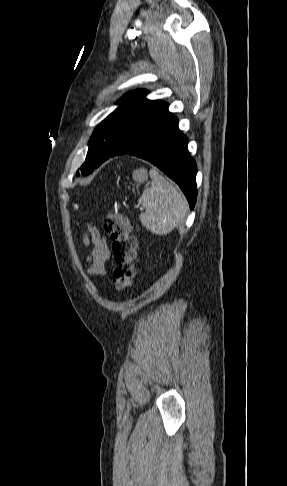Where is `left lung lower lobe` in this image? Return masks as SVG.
I'll list each match as a JSON object with an SVG mask.
<instances>
[{"mask_svg": "<svg viewBox=\"0 0 287 486\" xmlns=\"http://www.w3.org/2000/svg\"><path fill=\"white\" fill-rule=\"evenodd\" d=\"M187 144V137L178 128L177 117L172 115L142 145L126 154L147 160L161 169L180 186L193 209L197 197V167Z\"/></svg>", "mask_w": 287, "mask_h": 486, "instance_id": "left-lung-lower-lobe-1", "label": "left lung lower lobe"}]
</instances>
